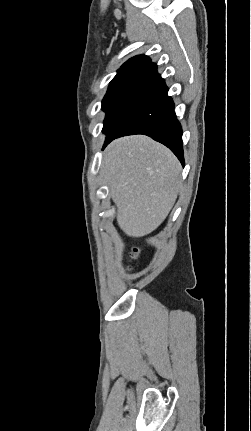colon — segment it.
<instances>
[{
    "label": "colon",
    "instance_id": "1",
    "mask_svg": "<svg viewBox=\"0 0 251 431\" xmlns=\"http://www.w3.org/2000/svg\"><path fill=\"white\" fill-rule=\"evenodd\" d=\"M131 257L132 258H136L137 257V255H138V250L137 249H134L132 252H131Z\"/></svg>",
    "mask_w": 251,
    "mask_h": 431
}]
</instances>
